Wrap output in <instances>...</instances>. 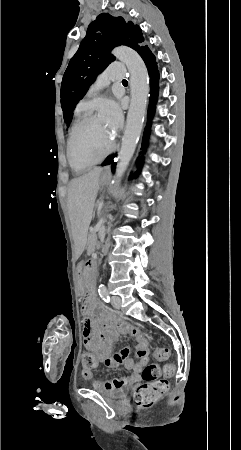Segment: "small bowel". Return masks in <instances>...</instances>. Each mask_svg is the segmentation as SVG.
Returning a JSON list of instances; mask_svg holds the SVG:
<instances>
[{
	"instance_id": "1",
	"label": "small bowel",
	"mask_w": 241,
	"mask_h": 450,
	"mask_svg": "<svg viewBox=\"0 0 241 450\" xmlns=\"http://www.w3.org/2000/svg\"><path fill=\"white\" fill-rule=\"evenodd\" d=\"M92 306V298L82 299L81 309L85 317L83 328L84 346L93 347L94 355L98 357L97 363H103L109 368L122 365L127 370L132 371V374L126 377L113 378L103 383L94 382V387H101L105 391H115L140 383L143 378L142 372L149 363V340L143 328L128 321L122 322V327L118 331L115 324H108L105 328L103 324H98V316H90L89 309ZM94 325H97L96 328ZM120 334H129L135 338L136 361L130 357V347H124L119 352L111 354L112 347ZM82 374L85 379H93L91 370H83Z\"/></svg>"
}]
</instances>
